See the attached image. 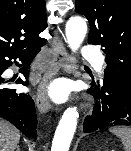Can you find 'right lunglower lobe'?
Segmentation results:
<instances>
[{
	"instance_id": "98d812e1",
	"label": "right lung lower lobe",
	"mask_w": 131,
	"mask_h": 151,
	"mask_svg": "<svg viewBox=\"0 0 131 151\" xmlns=\"http://www.w3.org/2000/svg\"><path fill=\"white\" fill-rule=\"evenodd\" d=\"M40 47L21 52H8L0 54V117L8 120L26 136L37 138V117L34 101L25 93H16L15 89L5 87L6 81L1 74L12 65V59H19L23 64L22 70L25 78H28L29 65L39 53ZM17 83L28 85L27 81L18 80Z\"/></svg>"
}]
</instances>
